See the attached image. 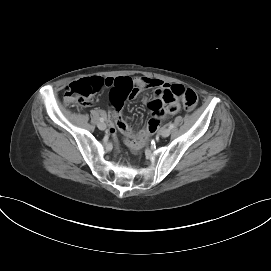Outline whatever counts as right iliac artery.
<instances>
[{
  "label": "right iliac artery",
  "instance_id": "1",
  "mask_svg": "<svg viewBox=\"0 0 271 271\" xmlns=\"http://www.w3.org/2000/svg\"><path fill=\"white\" fill-rule=\"evenodd\" d=\"M104 120H105V119H104L103 117L100 118V121H101V122H104Z\"/></svg>",
  "mask_w": 271,
  "mask_h": 271
}]
</instances>
